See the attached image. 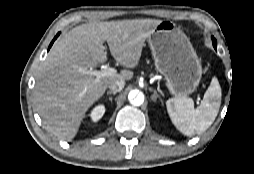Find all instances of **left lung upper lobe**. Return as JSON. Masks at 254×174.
<instances>
[{"instance_id": "left-lung-upper-lobe-1", "label": "left lung upper lobe", "mask_w": 254, "mask_h": 174, "mask_svg": "<svg viewBox=\"0 0 254 174\" xmlns=\"http://www.w3.org/2000/svg\"><path fill=\"white\" fill-rule=\"evenodd\" d=\"M212 40H213V46H214V45H217L216 40H215L214 37H212ZM215 49H216V48H215Z\"/></svg>"}]
</instances>
